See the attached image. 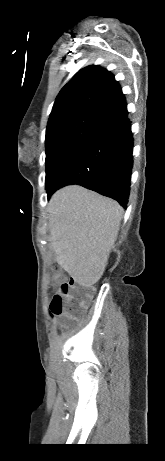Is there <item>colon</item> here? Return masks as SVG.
<instances>
[{
    "label": "colon",
    "instance_id": "obj_1",
    "mask_svg": "<svg viewBox=\"0 0 165 461\" xmlns=\"http://www.w3.org/2000/svg\"><path fill=\"white\" fill-rule=\"evenodd\" d=\"M53 282L57 292L51 300L50 313L66 327L83 313L92 297L93 288L77 284L73 278L66 277L60 268L54 269Z\"/></svg>",
    "mask_w": 165,
    "mask_h": 461
}]
</instances>
